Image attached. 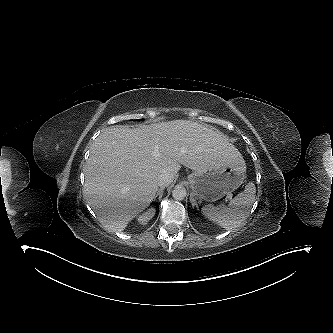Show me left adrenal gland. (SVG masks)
I'll return each instance as SVG.
<instances>
[{"label":"left adrenal gland","instance_id":"a2214340","mask_svg":"<svg viewBox=\"0 0 333 333\" xmlns=\"http://www.w3.org/2000/svg\"><path fill=\"white\" fill-rule=\"evenodd\" d=\"M190 202L193 208L196 207L198 209V204L193 196H190Z\"/></svg>","mask_w":333,"mask_h":333}]
</instances>
